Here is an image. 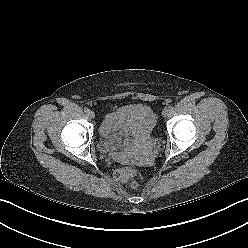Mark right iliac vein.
I'll list each match as a JSON object with an SVG mask.
<instances>
[{
	"mask_svg": "<svg viewBox=\"0 0 248 248\" xmlns=\"http://www.w3.org/2000/svg\"><path fill=\"white\" fill-rule=\"evenodd\" d=\"M87 115H88V117H89L90 119H94V118H95V113H94V111H92V110H89V112L87 113Z\"/></svg>",
	"mask_w": 248,
	"mask_h": 248,
	"instance_id": "63e3f726",
	"label": "right iliac vein"
}]
</instances>
